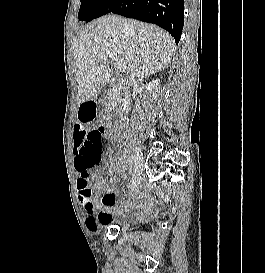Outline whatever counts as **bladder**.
<instances>
[{"label":"bladder","instance_id":"obj_1","mask_svg":"<svg viewBox=\"0 0 265 273\" xmlns=\"http://www.w3.org/2000/svg\"><path fill=\"white\" fill-rule=\"evenodd\" d=\"M136 223V218L134 216H128V217H125L124 219H122L120 222H119V225L122 227V228H132Z\"/></svg>","mask_w":265,"mask_h":273}]
</instances>
